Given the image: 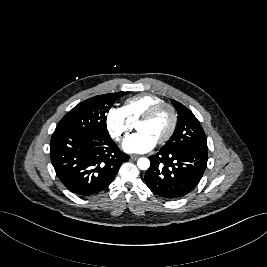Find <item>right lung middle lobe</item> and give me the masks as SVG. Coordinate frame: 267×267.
Wrapping results in <instances>:
<instances>
[{
    "label": "right lung middle lobe",
    "mask_w": 267,
    "mask_h": 267,
    "mask_svg": "<svg viewBox=\"0 0 267 267\" xmlns=\"http://www.w3.org/2000/svg\"><path fill=\"white\" fill-rule=\"evenodd\" d=\"M128 92H118L87 99L70 110L58 123L55 132L107 135L106 113Z\"/></svg>",
    "instance_id": "obj_1"
}]
</instances>
